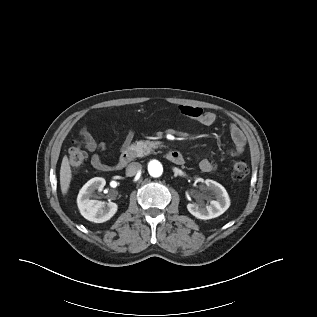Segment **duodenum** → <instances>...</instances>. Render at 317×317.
<instances>
[{
	"label": "duodenum",
	"mask_w": 317,
	"mask_h": 317,
	"mask_svg": "<svg viewBox=\"0 0 317 317\" xmlns=\"http://www.w3.org/2000/svg\"><path fill=\"white\" fill-rule=\"evenodd\" d=\"M166 158L170 162H172L176 165H181L184 163L183 155L179 151H176V150H172V151L167 152ZM135 159H136V151L131 150V149H127L122 153L118 162L114 166L109 167L107 171L121 170L126 165H128L130 162L134 161Z\"/></svg>",
	"instance_id": "duodenum-1"
}]
</instances>
